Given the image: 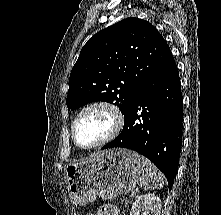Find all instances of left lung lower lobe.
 Returning <instances> with one entry per match:
<instances>
[{
	"mask_svg": "<svg viewBox=\"0 0 221 215\" xmlns=\"http://www.w3.org/2000/svg\"><path fill=\"white\" fill-rule=\"evenodd\" d=\"M182 110L178 69L170 53L131 101L120 135L102 149L122 147L144 155L166 175L171 189L179 164Z\"/></svg>",
	"mask_w": 221,
	"mask_h": 215,
	"instance_id": "left-lung-lower-lobe-1",
	"label": "left lung lower lobe"
}]
</instances>
